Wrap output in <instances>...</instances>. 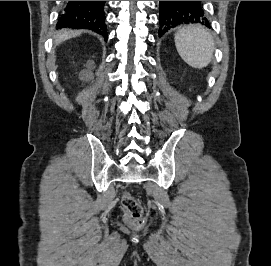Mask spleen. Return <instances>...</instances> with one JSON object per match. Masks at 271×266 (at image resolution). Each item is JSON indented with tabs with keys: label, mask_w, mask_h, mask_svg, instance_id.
Wrapping results in <instances>:
<instances>
[{
	"label": "spleen",
	"mask_w": 271,
	"mask_h": 266,
	"mask_svg": "<svg viewBox=\"0 0 271 266\" xmlns=\"http://www.w3.org/2000/svg\"><path fill=\"white\" fill-rule=\"evenodd\" d=\"M175 46L180 57L191 67L202 69L210 64L215 42L210 32L199 25H189L175 34Z\"/></svg>",
	"instance_id": "1"
}]
</instances>
